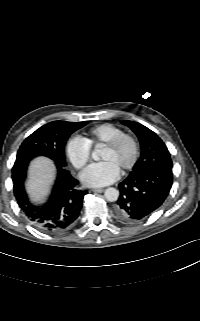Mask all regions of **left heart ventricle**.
<instances>
[{"mask_svg": "<svg viewBox=\"0 0 200 321\" xmlns=\"http://www.w3.org/2000/svg\"><path fill=\"white\" fill-rule=\"evenodd\" d=\"M132 156V145L129 141L122 142L115 149L103 147L100 152L101 160H108L114 163L119 169L126 165Z\"/></svg>", "mask_w": 200, "mask_h": 321, "instance_id": "b2bd125f", "label": "left heart ventricle"}]
</instances>
